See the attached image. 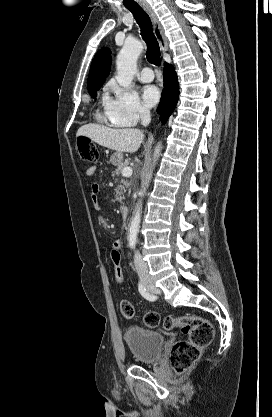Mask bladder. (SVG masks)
Instances as JSON below:
<instances>
[{"instance_id": "bladder-1", "label": "bladder", "mask_w": 272, "mask_h": 417, "mask_svg": "<svg viewBox=\"0 0 272 417\" xmlns=\"http://www.w3.org/2000/svg\"><path fill=\"white\" fill-rule=\"evenodd\" d=\"M125 343L133 357L141 363L157 362L165 344V337L141 327H129L124 333Z\"/></svg>"}]
</instances>
